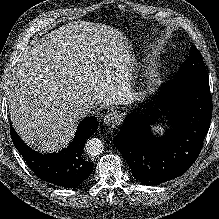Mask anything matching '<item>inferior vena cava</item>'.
<instances>
[{
	"instance_id": "1",
	"label": "inferior vena cava",
	"mask_w": 219,
	"mask_h": 219,
	"mask_svg": "<svg viewBox=\"0 0 219 219\" xmlns=\"http://www.w3.org/2000/svg\"><path fill=\"white\" fill-rule=\"evenodd\" d=\"M93 108L94 105L91 102H80L75 106L77 114L81 117L89 115Z\"/></svg>"
}]
</instances>
